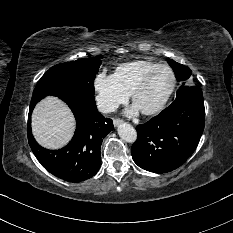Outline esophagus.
<instances>
[{
    "instance_id": "obj_1",
    "label": "esophagus",
    "mask_w": 233,
    "mask_h": 233,
    "mask_svg": "<svg viewBox=\"0 0 233 233\" xmlns=\"http://www.w3.org/2000/svg\"><path fill=\"white\" fill-rule=\"evenodd\" d=\"M121 123H122V120L120 118H114L113 119V124H114L115 127H117Z\"/></svg>"
}]
</instances>
